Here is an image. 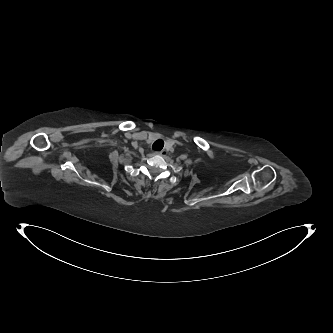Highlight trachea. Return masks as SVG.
Returning <instances> with one entry per match:
<instances>
[{"label":"trachea","mask_w":333,"mask_h":333,"mask_svg":"<svg viewBox=\"0 0 333 333\" xmlns=\"http://www.w3.org/2000/svg\"><path fill=\"white\" fill-rule=\"evenodd\" d=\"M163 147H164V141L161 139L156 140L152 145L153 150H162Z\"/></svg>","instance_id":"obj_1"}]
</instances>
